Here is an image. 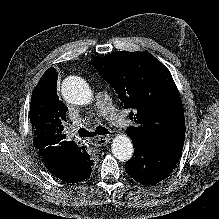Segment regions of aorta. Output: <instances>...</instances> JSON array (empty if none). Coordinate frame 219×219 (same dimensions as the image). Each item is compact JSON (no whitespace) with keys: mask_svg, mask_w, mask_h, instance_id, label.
Here are the masks:
<instances>
[{"mask_svg":"<svg viewBox=\"0 0 219 219\" xmlns=\"http://www.w3.org/2000/svg\"><path fill=\"white\" fill-rule=\"evenodd\" d=\"M61 91L63 98L74 105H87L92 101L91 88L86 81L78 77L65 79ZM112 153L121 162L130 160L133 154V144L129 136L117 135L112 142Z\"/></svg>","mask_w":219,"mask_h":219,"instance_id":"1","label":"aorta"}]
</instances>
